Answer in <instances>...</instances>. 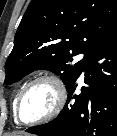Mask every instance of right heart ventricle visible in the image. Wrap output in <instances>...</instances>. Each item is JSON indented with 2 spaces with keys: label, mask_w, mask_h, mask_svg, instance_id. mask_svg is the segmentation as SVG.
I'll list each match as a JSON object with an SVG mask.
<instances>
[{
  "label": "right heart ventricle",
  "mask_w": 117,
  "mask_h": 136,
  "mask_svg": "<svg viewBox=\"0 0 117 136\" xmlns=\"http://www.w3.org/2000/svg\"><path fill=\"white\" fill-rule=\"evenodd\" d=\"M19 92H20V91H18V93L16 94V96H15V98H14V102H13L14 107H15L16 100H17V96H18Z\"/></svg>",
  "instance_id": "right-heart-ventricle-1"
}]
</instances>
